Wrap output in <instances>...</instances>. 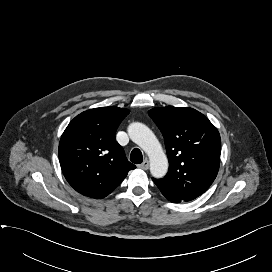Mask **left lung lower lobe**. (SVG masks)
<instances>
[{
  "mask_svg": "<svg viewBox=\"0 0 272 272\" xmlns=\"http://www.w3.org/2000/svg\"><path fill=\"white\" fill-rule=\"evenodd\" d=\"M153 181L155 182L154 179H153ZM193 199H195V198L184 199V200H182V201H190V200H193ZM180 202H181V201H180ZM173 203H179V202H173Z\"/></svg>",
  "mask_w": 272,
  "mask_h": 272,
  "instance_id": "obj_1",
  "label": "left lung lower lobe"
}]
</instances>
